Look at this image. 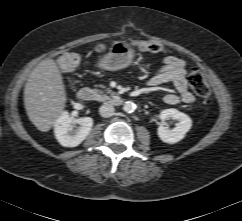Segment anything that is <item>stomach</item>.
<instances>
[{
	"mask_svg": "<svg viewBox=\"0 0 242 221\" xmlns=\"http://www.w3.org/2000/svg\"><path fill=\"white\" fill-rule=\"evenodd\" d=\"M135 57L131 44L125 40L114 41L105 55L97 62V67L106 71H117L128 67Z\"/></svg>",
	"mask_w": 242,
	"mask_h": 221,
	"instance_id": "1",
	"label": "stomach"
}]
</instances>
